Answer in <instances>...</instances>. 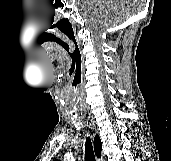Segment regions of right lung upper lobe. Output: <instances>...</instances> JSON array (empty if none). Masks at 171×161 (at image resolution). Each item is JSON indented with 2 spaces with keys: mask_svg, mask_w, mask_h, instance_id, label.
Segmentation results:
<instances>
[{
  "mask_svg": "<svg viewBox=\"0 0 171 161\" xmlns=\"http://www.w3.org/2000/svg\"><path fill=\"white\" fill-rule=\"evenodd\" d=\"M94 149L98 157L101 156L102 143L98 135H96L94 140ZM57 161V160H56Z\"/></svg>",
  "mask_w": 171,
  "mask_h": 161,
  "instance_id": "obj_1",
  "label": "right lung upper lobe"
}]
</instances>
